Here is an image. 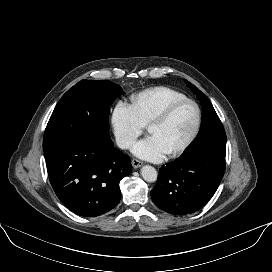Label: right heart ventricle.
Wrapping results in <instances>:
<instances>
[{"label": "right heart ventricle", "instance_id": "obj_1", "mask_svg": "<svg viewBox=\"0 0 272 272\" xmlns=\"http://www.w3.org/2000/svg\"><path fill=\"white\" fill-rule=\"evenodd\" d=\"M186 98L178 90L167 86H156L134 94L130 106L145 126L168 105Z\"/></svg>", "mask_w": 272, "mask_h": 272}]
</instances>
